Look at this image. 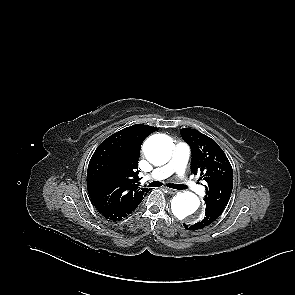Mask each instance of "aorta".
Returning <instances> with one entry per match:
<instances>
[{
  "label": "aorta",
  "mask_w": 295,
  "mask_h": 295,
  "mask_svg": "<svg viewBox=\"0 0 295 295\" xmlns=\"http://www.w3.org/2000/svg\"><path fill=\"white\" fill-rule=\"evenodd\" d=\"M173 142L164 134H155L149 137L144 144V154L147 160L154 165L167 163L172 155ZM200 200L192 192H178L171 201L174 216L188 223L200 220Z\"/></svg>",
  "instance_id": "aorta-1"
}]
</instances>
